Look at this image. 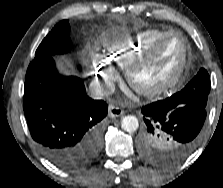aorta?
I'll use <instances>...</instances> for the list:
<instances>
[{
    "mask_svg": "<svg viewBox=\"0 0 223 188\" xmlns=\"http://www.w3.org/2000/svg\"><path fill=\"white\" fill-rule=\"evenodd\" d=\"M121 127L126 132H135L139 127L138 119L132 115L125 116L121 121Z\"/></svg>",
    "mask_w": 223,
    "mask_h": 188,
    "instance_id": "obj_1",
    "label": "aorta"
}]
</instances>
